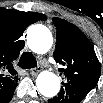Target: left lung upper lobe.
Returning <instances> with one entry per match:
<instances>
[{
  "label": "left lung upper lobe",
  "instance_id": "1",
  "mask_svg": "<svg viewBox=\"0 0 103 103\" xmlns=\"http://www.w3.org/2000/svg\"><path fill=\"white\" fill-rule=\"evenodd\" d=\"M53 20L57 30L53 56L56 62L63 65L59 71L65 79L61 91L66 85L92 90L98 83L101 67L90 41L74 24L60 18ZM56 103H64L63 97L58 98Z\"/></svg>",
  "mask_w": 103,
  "mask_h": 103
}]
</instances>
